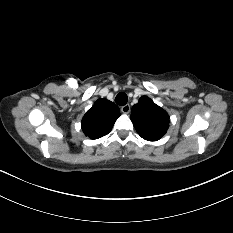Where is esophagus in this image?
I'll return each instance as SVG.
<instances>
[{
  "label": "esophagus",
  "instance_id": "34e87169",
  "mask_svg": "<svg viewBox=\"0 0 233 233\" xmlns=\"http://www.w3.org/2000/svg\"><path fill=\"white\" fill-rule=\"evenodd\" d=\"M121 111L124 113V114H128L130 112V105L129 104H126L124 106L121 107Z\"/></svg>",
  "mask_w": 233,
  "mask_h": 233
}]
</instances>
